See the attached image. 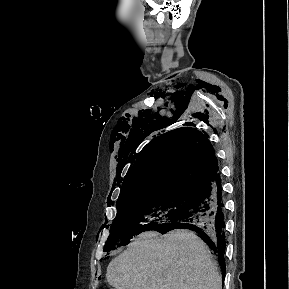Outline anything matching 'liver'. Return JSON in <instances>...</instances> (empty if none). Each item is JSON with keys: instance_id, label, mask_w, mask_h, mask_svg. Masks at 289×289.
<instances>
[{"instance_id": "liver-1", "label": "liver", "mask_w": 289, "mask_h": 289, "mask_svg": "<svg viewBox=\"0 0 289 289\" xmlns=\"http://www.w3.org/2000/svg\"><path fill=\"white\" fill-rule=\"evenodd\" d=\"M115 289H222L217 263L192 231L140 234L107 267Z\"/></svg>"}]
</instances>
